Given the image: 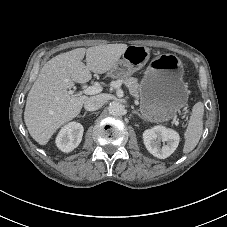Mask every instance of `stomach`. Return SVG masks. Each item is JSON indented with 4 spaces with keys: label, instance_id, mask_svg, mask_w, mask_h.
<instances>
[{
    "label": "stomach",
    "instance_id": "0dacf381",
    "mask_svg": "<svg viewBox=\"0 0 227 227\" xmlns=\"http://www.w3.org/2000/svg\"><path fill=\"white\" fill-rule=\"evenodd\" d=\"M150 51L141 45H130L109 71L112 78H125L143 68ZM183 64L172 54L154 58L145 71L139 88L140 112L150 122H167L186 105L188 85L183 81Z\"/></svg>",
    "mask_w": 227,
    "mask_h": 227
}]
</instances>
